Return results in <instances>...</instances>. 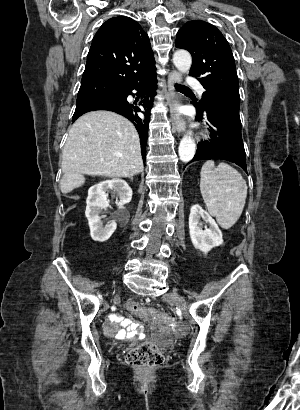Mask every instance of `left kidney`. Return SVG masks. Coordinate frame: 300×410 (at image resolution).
Instances as JSON below:
<instances>
[{"mask_svg":"<svg viewBox=\"0 0 300 410\" xmlns=\"http://www.w3.org/2000/svg\"><path fill=\"white\" fill-rule=\"evenodd\" d=\"M200 219L208 223L209 228L205 227L203 230ZM189 231L193 246L203 253H208L212 248L223 244L222 233L215 220L198 204L191 207Z\"/></svg>","mask_w":300,"mask_h":410,"instance_id":"1","label":"left kidney"}]
</instances>
